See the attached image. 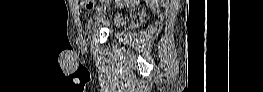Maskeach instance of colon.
Listing matches in <instances>:
<instances>
[{
  "label": "colon",
  "instance_id": "1",
  "mask_svg": "<svg viewBox=\"0 0 263 92\" xmlns=\"http://www.w3.org/2000/svg\"><path fill=\"white\" fill-rule=\"evenodd\" d=\"M82 5H84L85 8H88V9H91L92 6L91 4L94 2V1H91V0H81L79 1ZM101 2H104V1H101Z\"/></svg>",
  "mask_w": 263,
  "mask_h": 92
}]
</instances>
